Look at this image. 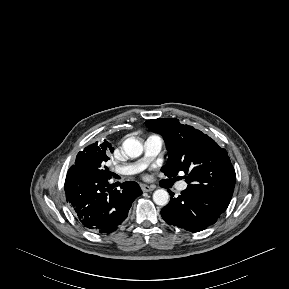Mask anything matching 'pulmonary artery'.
Returning <instances> with one entry per match:
<instances>
[{
  "instance_id": "e3ab8cb5",
  "label": "pulmonary artery",
  "mask_w": 289,
  "mask_h": 289,
  "mask_svg": "<svg viewBox=\"0 0 289 289\" xmlns=\"http://www.w3.org/2000/svg\"><path fill=\"white\" fill-rule=\"evenodd\" d=\"M163 138L160 135H149L144 142V158L141 162L115 168V172L122 175H131L141 170L146 163L154 159L163 146ZM187 188V183L182 181L178 184V191H184Z\"/></svg>"
}]
</instances>
